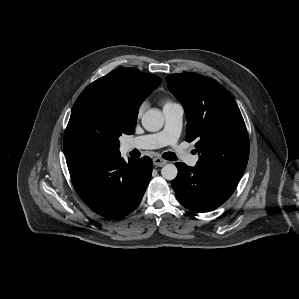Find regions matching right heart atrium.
Instances as JSON below:
<instances>
[{"label":"right heart atrium","instance_id":"obj_1","mask_svg":"<svg viewBox=\"0 0 299 299\" xmlns=\"http://www.w3.org/2000/svg\"><path fill=\"white\" fill-rule=\"evenodd\" d=\"M144 109H145V104H141L137 110V117H140L142 115Z\"/></svg>","mask_w":299,"mask_h":299}]
</instances>
